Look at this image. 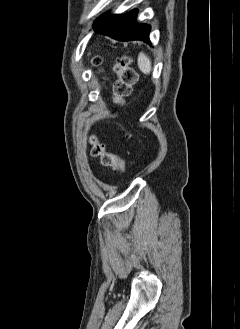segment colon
<instances>
[{"instance_id": "obj_1", "label": "colon", "mask_w": 240, "mask_h": 329, "mask_svg": "<svg viewBox=\"0 0 240 329\" xmlns=\"http://www.w3.org/2000/svg\"><path fill=\"white\" fill-rule=\"evenodd\" d=\"M93 61L99 63L100 59L95 57ZM116 71L118 78L113 85V95L117 102H122L130 94L137 75L130 66L129 60L125 57L118 60ZM90 142L92 144L91 154L94 157H100L103 165L113 167L121 172L125 171V163L119 155L107 151L104 145L97 141L95 136L90 138Z\"/></svg>"}]
</instances>
